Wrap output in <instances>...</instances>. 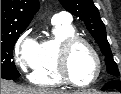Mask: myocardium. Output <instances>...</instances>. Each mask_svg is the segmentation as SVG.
<instances>
[{
  "label": "myocardium",
  "instance_id": "myocardium-1",
  "mask_svg": "<svg viewBox=\"0 0 121 94\" xmlns=\"http://www.w3.org/2000/svg\"><path fill=\"white\" fill-rule=\"evenodd\" d=\"M78 43L84 44L90 50V52L92 53L96 61V66H97L96 74L94 78L88 83L75 82L69 70L70 53L73 47ZM57 72H58L59 78L67 85H70L73 87H89L93 85L99 79L101 72H102V61H101L99 53L97 52L95 47L92 45V43L89 42L84 37L75 34V35H72L63 39L58 46Z\"/></svg>",
  "mask_w": 121,
  "mask_h": 94
}]
</instances>
